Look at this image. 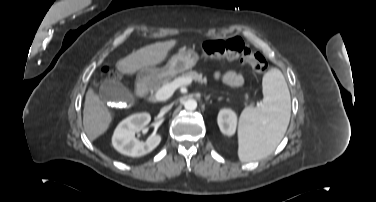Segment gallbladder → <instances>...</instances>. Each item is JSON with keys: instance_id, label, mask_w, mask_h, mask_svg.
<instances>
[{"instance_id": "bac80fb5", "label": "gallbladder", "mask_w": 376, "mask_h": 202, "mask_svg": "<svg viewBox=\"0 0 376 202\" xmlns=\"http://www.w3.org/2000/svg\"><path fill=\"white\" fill-rule=\"evenodd\" d=\"M100 97L104 102H130L132 95L120 82L112 79L105 80L99 88Z\"/></svg>"}]
</instances>
